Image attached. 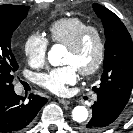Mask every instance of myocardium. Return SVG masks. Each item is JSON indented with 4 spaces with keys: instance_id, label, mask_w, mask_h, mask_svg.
Segmentation results:
<instances>
[{
    "instance_id": "1",
    "label": "myocardium",
    "mask_w": 133,
    "mask_h": 133,
    "mask_svg": "<svg viewBox=\"0 0 133 133\" xmlns=\"http://www.w3.org/2000/svg\"><path fill=\"white\" fill-rule=\"evenodd\" d=\"M94 35L98 44L97 57L94 64L87 68L79 70V73L83 76H92L96 74L103 66L106 56V41L104 34L100 28L94 25H88L79 32L76 38L67 45V49L71 52L79 51L85 43L88 36Z\"/></svg>"
}]
</instances>
